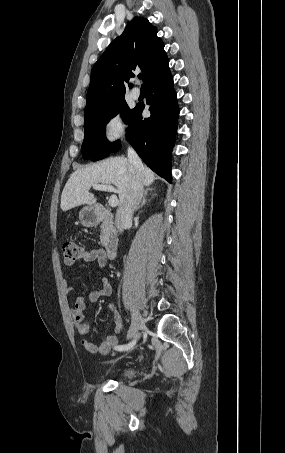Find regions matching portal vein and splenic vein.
<instances>
[{"instance_id":"portal-vein-and-splenic-vein-1","label":"portal vein and splenic vein","mask_w":285,"mask_h":453,"mask_svg":"<svg viewBox=\"0 0 285 453\" xmlns=\"http://www.w3.org/2000/svg\"><path fill=\"white\" fill-rule=\"evenodd\" d=\"M93 189L118 193V191L112 185H109V184H94ZM108 203H109V206H111V207H115L118 205L119 201L117 199L116 194H113L110 196Z\"/></svg>"}]
</instances>
